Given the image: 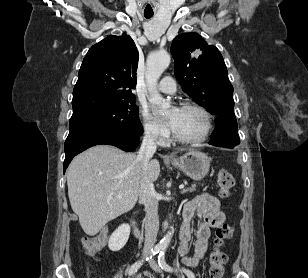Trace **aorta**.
<instances>
[{
    "instance_id": "1",
    "label": "aorta",
    "mask_w": 308,
    "mask_h": 278,
    "mask_svg": "<svg viewBox=\"0 0 308 278\" xmlns=\"http://www.w3.org/2000/svg\"><path fill=\"white\" fill-rule=\"evenodd\" d=\"M170 64V55L165 51H160L151 54L147 59L146 81L149 87V101L152 104L160 107V114L164 115L166 110L170 107V103L162 98L156 90L157 81ZM172 232L161 239L159 243L160 249H166L171 241Z\"/></svg>"
}]
</instances>
